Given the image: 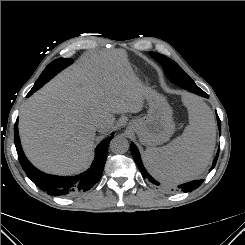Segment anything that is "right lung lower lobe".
<instances>
[{
  "label": "right lung lower lobe",
  "mask_w": 245,
  "mask_h": 245,
  "mask_svg": "<svg viewBox=\"0 0 245 245\" xmlns=\"http://www.w3.org/2000/svg\"><path fill=\"white\" fill-rule=\"evenodd\" d=\"M49 80V77L43 78V81H41V87ZM35 91V89H31L27 94V97H29ZM14 138L19 162L29 179L51 196H70L91 189L93 185L100 180L106 162L108 152L107 148L113 136L106 138L97 146L95 150L96 156L91 168L84 174L72 177H60L45 174L36 169L28 161L21 147L18 134V121H16L14 125Z\"/></svg>",
  "instance_id": "right-lung-lower-lobe-1"
}]
</instances>
